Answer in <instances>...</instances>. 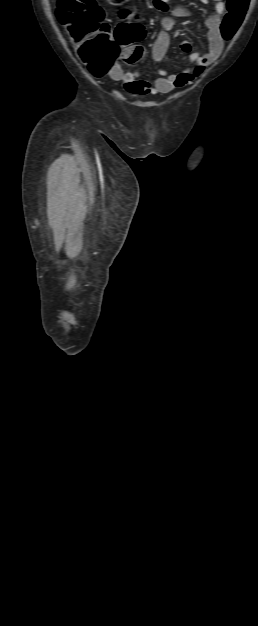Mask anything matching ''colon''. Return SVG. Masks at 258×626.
<instances>
[{
    "label": "colon",
    "mask_w": 258,
    "mask_h": 626,
    "mask_svg": "<svg viewBox=\"0 0 258 626\" xmlns=\"http://www.w3.org/2000/svg\"><path fill=\"white\" fill-rule=\"evenodd\" d=\"M120 6L126 0H105ZM250 0H227L226 13L220 24L223 40H230L239 29ZM57 20L66 28L79 59L94 76L105 75L121 57L135 63L144 56V48L134 42L144 36L140 23H120L113 31L105 21L98 0H57ZM126 47L122 52L121 48Z\"/></svg>",
    "instance_id": "5ec220e1"
}]
</instances>
